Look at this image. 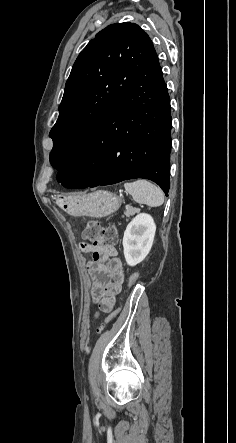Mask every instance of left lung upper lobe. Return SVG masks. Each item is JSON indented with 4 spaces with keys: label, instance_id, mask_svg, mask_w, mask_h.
<instances>
[{
    "label": "left lung upper lobe",
    "instance_id": "1",
    "mask_svg": "<svg viewBox=\"0 0 236 443\" xmlns=\"http://www.w3.org/2000/svg\"><path fill=\"white\" fill-rule=\"evenodd\" d=\"M154 51L149 36L126 22L107 26L87 44L73 65L50 131L54 168L59 171L72 160Z\"/></svg>",
    "mask_w": 236,
    "mask_h": 443
}]
</instances>
